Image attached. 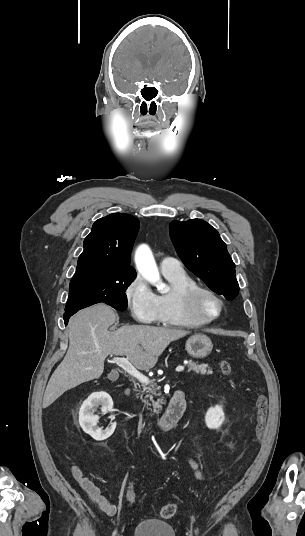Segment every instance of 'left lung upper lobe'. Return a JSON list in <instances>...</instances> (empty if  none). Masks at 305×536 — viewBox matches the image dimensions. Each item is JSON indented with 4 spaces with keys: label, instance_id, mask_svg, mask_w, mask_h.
I'll return each instance as SVG.
<instances>
[{
    "label": "left lung upper lobe",
    "instance_id": "left-lung-upper-lobe-1",
    "mask_svg": "<svg viewBox=\"0 0 305 536\" xmlns=\"http://www.w3.org/2000/svg\"><path fill=\"white\" fill-rule=\"evenodd\" d=\"M170 237L185 266L211 290L232 300L238 295L235 264L219 233L207 222L192 219L170 223Z\"/></svg>",
    "mask_w": 305,
    "mask_h": 536
}]
</instances>
